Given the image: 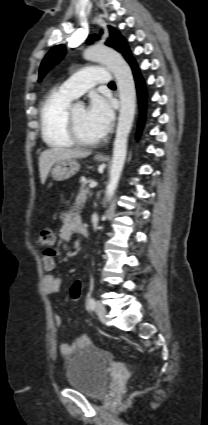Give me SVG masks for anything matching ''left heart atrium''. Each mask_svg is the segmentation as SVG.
I'll use <instances>...</instances> for the list:
<instances>
[{"mask_svg":"<svg viewBox=\"0 0 208 425\" xmlns=\"http://www.w3.org/2000/svg\"><path fill=\"white\" fill-rule=\"evenodd\" d=\"M86 117L93 130L99 137H102L110 129L113 111L107 100L98 95H94L86 110Z\"/></svg>","mask_w":208,"mask_h":425,"instance_id":"1","label":"left heart atrium"}]
</instances>
